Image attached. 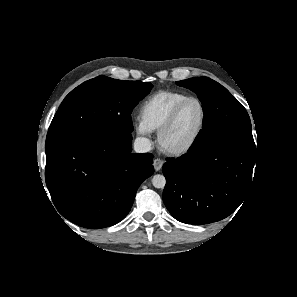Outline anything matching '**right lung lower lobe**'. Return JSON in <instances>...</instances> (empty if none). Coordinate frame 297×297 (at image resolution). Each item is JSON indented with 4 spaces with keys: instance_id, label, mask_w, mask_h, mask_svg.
Listing matches in <instances>:
<instances>
[{
    "instance_id": "98d812e1",
    "label": "right lung lower lobe",
    "mask_w": 297,
    "mask_h": 297,
    "mask_svg": "<svg viewBox=\"0 0 297 297\" xmlns=\"http://www.w3.org/2000/svg\"><path fill=\"white\" fill-rule=\"evenodd\" d=\"M152 158L132 153L131 133L91 136L46 155V185L66 219L109 227L130 211L138 187L154 172Z\"/></svg>"
}]
</instances>
